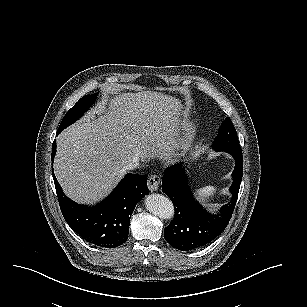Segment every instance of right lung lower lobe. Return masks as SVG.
Instances as JSON below:
<instances>
[{
  "instance_id": "1",
  "label": "right lung lower lobe",
  "mask_w": 307,
  "mask_h": 307,
  "mask_svg": "<svg viewBox=\"0 0 307 307\" xmlns=\"http://www.w3.org/2000/svg\"><path fill=\"white\" fill-rule=\"evenodd\" d=\"M55 153L56 140L52 145V164ZM52 173L64 219L81 238L105 248H115L127 240L132 212L138 200L149 193L146 175L127 174L103 202L88 207L69 199Z\"/></svg>"
}]
</instances>
